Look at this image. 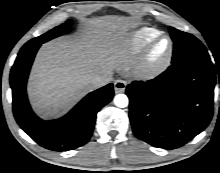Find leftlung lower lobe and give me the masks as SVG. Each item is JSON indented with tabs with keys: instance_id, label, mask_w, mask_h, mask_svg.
I'll return each mask as SVG.
<instances>
[{
	"instance_id": "0a47b994",
	"label": "left lung lower lobe",
	"mask_w": 220,
	"mask_h": 173,
	"mask_svg": "<svg viewBox=\"0 0 220 173\" xmlns=\"http://www.w3.org/2000/svg\"><path fill=\"white\" fill-rule=\"evenodd\" d=\"M215 81L210 58L196 57L172 63L147 83L129 84V117L136 137L163 149L188 143L212 118Z\"/></svg>"
}]
</instances>
